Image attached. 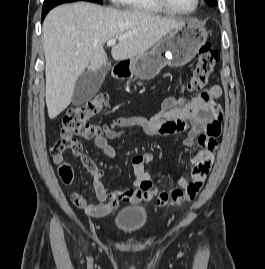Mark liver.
I'll return each mask as SVG.
<instances>
[{
	"label": "liver",
	"mask_w": 265,
	"mask_h": 269,
	"mask_svg": "<svg viewBox=\"0 0 265 269\" xmlns=\"http://www.w3.org/2000/svg\"><path fill=\"white\" fill-rule=\"evenodd\" d=\"M185 22L138 10H117L88 2L63 4L43 22L46 67V105L50 119L70 104L75 84L87 69L96 73L106 65L104 44L123 38L111 49L114 60L146 53L160 39Z\"/></svg>",
	"instance_id": "obj_1"
}]
</instances>
